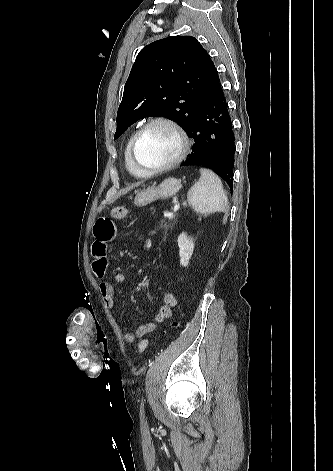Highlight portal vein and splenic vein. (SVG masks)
<instances>
[{
  "label": "portal vein and splenic vein",
  "mask_w": 333,
  "mask_h": 471,
  "mask_svg": "<svg viewBox=\"0 0 333 471\" xmlns=\"http://www.w3.org/2000/svg\"><path fill=\"white\" fill-rule=\"evenodd\" d=\"M180 209V203H176L173 208V212H176Z\"/></svg>",
  "instance_id": "1"
}]
</instances>
